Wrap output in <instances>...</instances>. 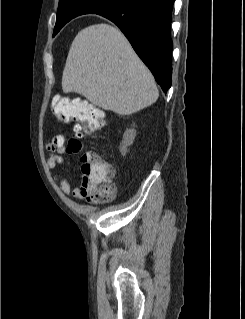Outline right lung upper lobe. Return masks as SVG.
Segmentation results:
<instances>
[{
	"label": "right lung upper lobe",
	"mask_w": 245,
	"mask_h": 319,
	"mask_svg": "<svg viewBox=\"0 0 245 319\" xmlns=\"http://www.w3.org/2000/svg\"><path fill=\"white\" fill-rule=\"evenodd\" d=\"M60 2H66V4L63 7L62 17L57 18L56 25L58 27H63L68 21L76 16L91 13L81 7L80 3L83 2V0H60Z\"/></svg>",
	"instance_id": "cb5924a9"
}]
</instances>
